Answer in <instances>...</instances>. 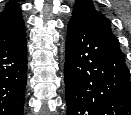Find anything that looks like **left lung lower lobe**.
Returning <instances> with one entry per match:
<instances>
[{
	"instance_id": "left-lung-lower-lobe-1",
	"label": "left lung lower lobe",
	"mask_w": 131,
	"mask_h": 115,
	"mask_svg": "<svg viewBox=\"0 0 131 115\" xmlns=\"http://www.w3.org/2000/svg\"><path fill=\"white\" fill-rule=\"evenodd\" d=\"M67 29V115H131L124 54L77 19L71 18Z\"/></svg>"
}]
</instances>
